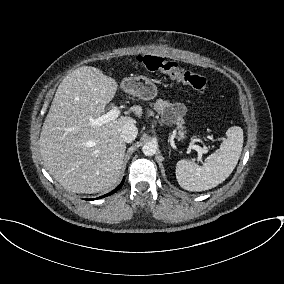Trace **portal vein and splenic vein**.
<instances>
[{
  "label": "portal vein and splenic vein",
  "instance_id": "1",
  "mask_svg": "<svg viewBox=\"0 0 284 284\" xmlns=\"http://www.w3.org/2000/svg\"><path fill=\"white\" fill-rule=\"evenodd\" d=\"M119 114H120V110L118 108H113L109 112H107L106 114H103L102 116L98 117L97 119L92 120L91 124L101 126V125L106 124L110 121L116 120L119 117ZM192 149H194L198 152V158H197L198 161H202V154L206 153L207 150L203 149L199 145H193Z\"/></svg>",
  "mask_w": 284,
  "mask_h": 284
}]
</instances>
